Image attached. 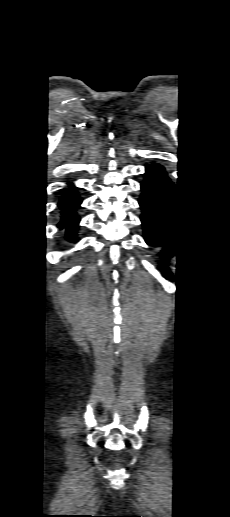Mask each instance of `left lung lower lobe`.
Returning a JSON list of instances; mask_svg holds the SVG:
<instances>
[{
  "label": "left lung lower lobe",
  "instance_id": "obj_1",
  "mask_svg": "<svg viewBox=\"0 0 230 517\" xmlns=\"http://www.w3.org/2000/svg\"><path fill=\"white\" fill-rule=\"evenodd\" d=\"M143 193L139 199L142 209L141 222L148 245L165 246L164 256L173 254L175 224V187L164 168L158 164L146 167L145 180L141 183ZM167 279L172 274L165 269Z\"/></svg>",
  "mask_w": 230,
  "mask_h": 517
}]
</instances>
